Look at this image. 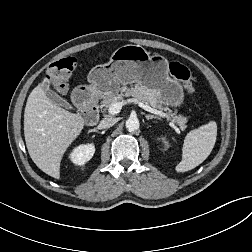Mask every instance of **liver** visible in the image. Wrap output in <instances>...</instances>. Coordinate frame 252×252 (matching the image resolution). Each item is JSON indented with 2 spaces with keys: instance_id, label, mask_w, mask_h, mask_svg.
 <instances>
[{
  "instance_id": "obj_1",
  "label": "liver",
  "mask_w": 252,
  "mask_h": 252,
  "mask_svg": "<svg viewBox=\"0 0 252 252\" xmlns=\"http://www.w3.org/2000/svg\"><path fill=\"white\" fill-rule=\"evenodd\" d=\"M42 83L30 93L24 112V136L29 155L49 176L60 178L63 154L82 132L85 121L59 105L45 93Z\"/></svg>"
}]
</instances>
